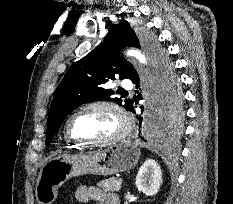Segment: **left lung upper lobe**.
<instances>
[{
	"label": "left lung upper lobe",
	"mask_w": 233,
	"mask_h": 204,
	"mask_svg": "<svg viewBox=\"0 0 233 204\" xmlns=\"http://www.w3.org/2000/svg\"><path fill=\"white\" fill-rule=\"evenodd\" d=\"M138 34L152 54L161 74L164 120L178 130L183 113L182 96L171 62L153 38L141 35V31ZM125 46L140 48V42L128 21L122 19L119 24L109 28L104 41L96 49L71 65L53 94L48 111L46 145L51 142L65 118L81 104L110 100L126 110L131 106V100L114 98L112 96L115 92L104 88V84L115 80L116 76L121 80L130 79L136 72L134 66L119 55V50Z\"/></svg>",
	"instance_id": "obj_1"
}]
</instances>
